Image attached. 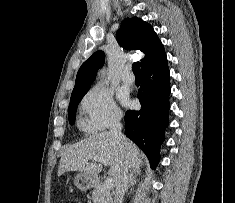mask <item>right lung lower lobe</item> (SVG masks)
I'll use <instances>...</instances> for the list:
<instances>
[{"label": "right lung lower lobe", "instance_id": "obj_1", "mask_svg": "<svg viewBox=\"0 0 235 203\" xmlns=\"http://www.w3.org/2000/svg\"><path fill=\"white\" fill-rule=\"evenodd\" d=\"M139 111L125 114V133L147 155L152 168L160 159V146L168 125L170 72L166 55L142 70Z\"/></svg>", "mask_w": 235, "mask_h": 203}]
</instances>
